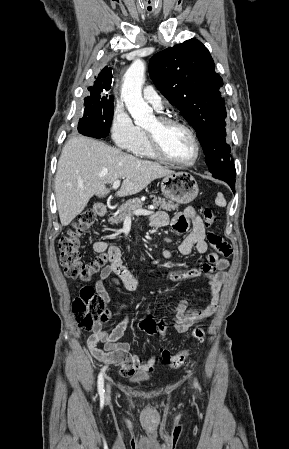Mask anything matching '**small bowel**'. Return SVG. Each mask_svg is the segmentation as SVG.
Returning a JSON list of instances; mask_svg holds the SVG:
<instances>
[{"instance_id": "small-bowel-1", "label": "small bowel", "mask_w": 289, "mask_h": 449, "mask_svg": "<svg viewBox=\"0 0 289 449\" xmlns=\"http://www.w3.org/2000/svg\"><path fill=\"white\" fill-rule=\"evenodd\" d=\"M151 223L155 227H164L170 224L172 229L178 233H185L189 225L191 231L179 245V252L182 255H189L193 250L198 254H205L208 251V244L205 238V224L193 207H187L184 212L177 213L169 220L164 212H158L151 218ZM93 249L97 253H106L109 264L99 273L94 282V290L105 302H110V295L105 288V281H110L118 285L122 283L128 291L136 289V279L122 262L121 250L114 245H109L103 240L94 242ZM162 256L171 259L173 252L164 249ZM229 261L216 254L208 256V263L203 267H193L187 270H175L169 273L173 281H184L204 275L208 280L209 300L200 310L188 311V301L180 300L175 310V330L178 333H185L195 323L210 317L217 309L220 290L224 279L227 276ZM112 311L106 310L99 321L94 326V331L87 340V344L92 354L100 361L121 367V374L131 377L134 374H148L154 371L158 356L154 355L142 361L138 354L130 352L131 343L122 342L125 331L130 323L129 311L124 312L122 320L110 331L103 329L102 324L111 317ZM103 343L104 347L99 348Z\"/></svg>"}]
</instances>
